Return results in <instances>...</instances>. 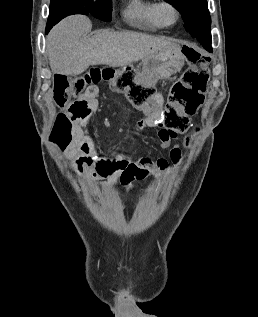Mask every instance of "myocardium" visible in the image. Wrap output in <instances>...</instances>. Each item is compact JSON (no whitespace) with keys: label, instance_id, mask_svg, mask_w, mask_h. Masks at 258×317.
Returning <instances> with one entry per match:
<instances>
[{"label":"myocardium","instance_id":"1","mask_svg":"<svg viewBox=\"0 0 258 317\" xmlns=\"http://www.w3.org/2000/svg\"><path fill=\"white\" fill-rule=\"evenodd\" d=\"M166 11H170L171 12V17L170 18H166L164 13ZM156 18L158 20V22L160 23L161 26H170L173 25L177 18H178V12L176 7L168 2H160L157 6V10H156Z\"/></svg>","mask_w":258,"mask_h":317}]
</instances>
